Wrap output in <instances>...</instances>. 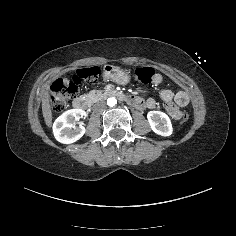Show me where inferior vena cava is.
<instances>
[{
    "instance_id": "inferior-vena-cava-1",
    "label": "inferior vena cava",
    "mask_w": 236,
    "mask_h": 236,
    "mask_svg": "<svg viewBox=\"0 0 236 236\" xmlns=\"http://www.w3.org/2000/svg\"><path fill=\"white\" fill-rule=\"evenodd\" d=\"M105 108H106V104H105V102H103V101L97 102V103H95L94 106H93V110H94L95 112H97V113H100V112L104 111Z\"/></svg>"
}]
</instances>
